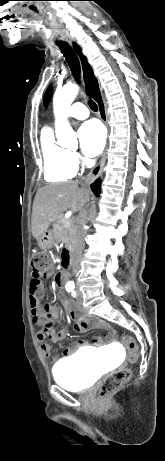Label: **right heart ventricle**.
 <instances>
[{
	"instance_id": "1",
	"label": "right heart ventricle",
	"mask_w": 165,
	"mask_h": 461,
	"mask_svg": "<svg viewBox=\"0 0 165 461\" xmlns=\"http://www.w3.org/2000/svg\"><path fill=\"white\" fill-rule=\"evenodd\" d=\"M40 145L46 181H67L75 176L77 167L72 160L71 153L55 142L50 129L46 128L42 131Z\"/></svg>"
}]
</instances>
